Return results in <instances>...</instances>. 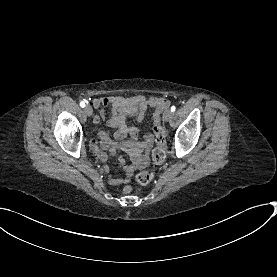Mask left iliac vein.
<instances>
[{"instance_id":"left-iliac-vein-1","label":"left iliac vein","mask_w":277,"mask_h":277,"mask_svg":"<svg viewBox=\"0 0 277 277\" xmlns=\"http://www.w3.org/2000/svg\"><path fill=\"white\" fill-rule=\"evenodd\" d=\"M172 116H173L172 111L167 110V111L164 113V120H165L166 122H168V121L171 120Z\"/></svg>"}]
</instances>
